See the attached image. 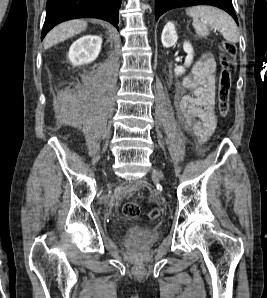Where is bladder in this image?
<instances>
[{
  "label": "bladder",
  "mask_w": 267,
  "mask_h": 298,
  "mask_svg": "<svg viewBox=\"0 0 267 298\" xmlns=\"http://www.w3.org/2000/svg\"><path fill=\"white\" fill-rule=\"evenodd\" d=\"M160 237V231L157 229H146L140 234H135L132 231H128L125 234V240L128 242H138L141 245L149 246L155 243Z\"/></svg>",
  "instance_id": "bladder-1"
}]
</instances>
